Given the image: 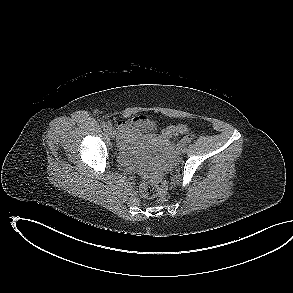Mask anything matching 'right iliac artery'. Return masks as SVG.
Returning a JSON list of instances; mask_svg holds the SVG:
<instances>
[{
    "label": "right iliac artery",
    "instance_id": "1",
    "mask_svg": "<svg viewBox=\"0 0 293 293\" xmlns=\"http://www.w3.org/2000/svg\"><path fill=\"white\" fill-rule=\"evenodd\" d=\"M101 127L104 128V129H107L108 125L105 122H101Z\"/></svg>",
    "mask_w": 293,
    "mask_h": 293
}]
</instances>
